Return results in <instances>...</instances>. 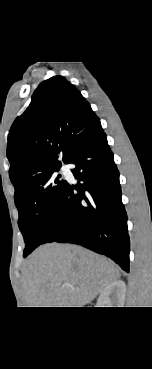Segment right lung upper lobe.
Masks as SVG:
<instances>
[{"label": "right lung upper lobe", "mask_w": 152, "mask_h": 369, "mask_svg": "<svg viewBox=\"0 0 152 369\" xmlns=\"http://www.w3.org/2000/svg\"><path fill=\"white\" fill-rule=\"evenodd\" d=\"M102 129L100 119L81 93L62 76L43 81L8 135L9 177L15 195L38 175L68 163L76 150Z\"/></svg>", "instance_id": "cb5924a9"}]
</instances>
